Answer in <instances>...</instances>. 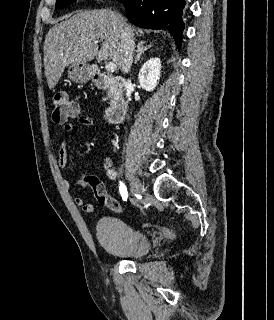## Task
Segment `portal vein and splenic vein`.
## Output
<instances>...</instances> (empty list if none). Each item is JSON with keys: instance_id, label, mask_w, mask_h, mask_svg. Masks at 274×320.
Masks as SVG:
<instances>
[{"instance_id": "obj_1", "label": "portal vein and splenic vein", "mask_w": 274, "mask_h": 320, "mask_svg": "<svg viewBox=\"0 0 274 320\" xmlns=\"http://www.w3.org/2000/svg\"><path fill=\"white\" fill-rule=\"evenodd\" d=\"M105 68H106L107 72H115L117 66H116V64H114V62H107Z\"/></svg>"}]
</instances>
